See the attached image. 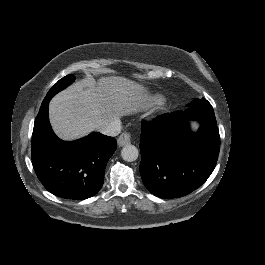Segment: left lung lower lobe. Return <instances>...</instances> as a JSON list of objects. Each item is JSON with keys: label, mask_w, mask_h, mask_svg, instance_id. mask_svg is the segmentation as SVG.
<instances>
[{"label": "left lung lower lobe", "mask_w": 265, "mask_h": 265, "mask_svg": "<svg viewBox=\"0 0 265 265\" xmlns=\"http://www.w3.org/2000/svg\"><path fill=\"white\" fill-rule=\"evenodd\" d=\"M188 120L200 128L190 131ZM140 173L146 188L160 198L185 196L199 188L216 166L219 130L207 100L185 111L164 114L142 122Z\"/></svg>", "instance_id": "left-lung-lower-lobe-1"}]
</instances>
